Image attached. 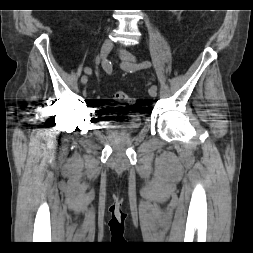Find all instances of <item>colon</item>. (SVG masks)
Wrapping results in <instances>:
<instances>
[{
  "instance_id": "1",
  "label": "colon",
  "mask_w": 253,
  "mask_h": 253,
  "mask_svg": "<svg viewBox=\"0 0 253 253\" xmlns=\"http://www.w3.org/2000/svg\"><path fill=\"white\" fill-rule=\"evenodd\" d=\"M112 98L115 101L121 102V103H131L133 99L125 92L122 91H116L113 93Z\"/></svg>"
}]
</instances>
